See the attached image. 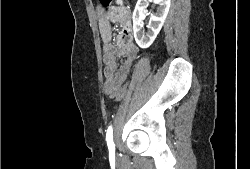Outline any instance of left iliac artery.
I'll use <instances>...</instances> for the list:
<instances>
[{
    "mask_svg": "<svg viewBox=\"0 0 250 169\" xmlns=\"http://www.w3.org/2000/svg\"><path fill=\"white\" fill-rule=\"evenodd\" d=\"M106 141L109 151H115V144L113 142V129L109 126L106 132Z\"/></svg>",
    "mask_w": 250,
    "mask_h": 169,
    "instance_id": "left-iliac-artery-1",
    "label": "left iliac artery"
}]
</instances>
